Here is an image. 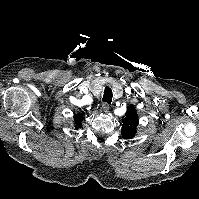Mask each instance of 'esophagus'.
Instances as JSON below:
<instances>
[{"label":"esophagus","mask_w":199,"mask_h":199,"mask_svg":"<svg viewBox=\"0 0 199 199\" xmlns=\"http://www.w3.org/2000/svg\"><path fill=\"white\" fill-rule=\"evenodd\" d=\"M109 104L108 103H103L102 104V110L107 113L109 111Z\"/></svg>","instance_id":"1"}]
</instances>
